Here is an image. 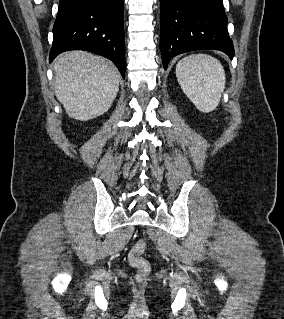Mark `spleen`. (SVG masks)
Here are the masks:
<instances>
[{"instance_id":"spleen-1","label":"spleen","mask_w":284,"mask_h":319,"mask_svg":"<svg viewBox=\"0 0 284 319\" xmlns=\"http://www.w3.org/2000/svg\"><path fill=\"white\" fill-rule=\"evenodd\" d=\"M176 77L183 92L204 113L219 104L226 77L222 64L207 54H193L176 65Z\"/></svg>"}]
</instances>
